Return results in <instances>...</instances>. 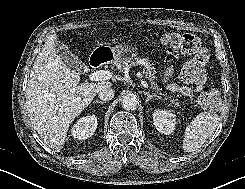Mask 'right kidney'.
Instances as JSON below:
<instances>
[{"label": "right kidney", "instance_id": "ca27d5eb", "mask_svg": "<svg viewBox=\"0 0 245 189\" xmlns=\"http://www.w3.org/2000/svg\"><path fill=\"white\" fill-rule=\"evenodd\" d=\"M97 118L95 115L81 117L71 129L74 139L85 140L91 137L97 128Z\"/></svg>", "mask_w": 245, "mask_h": 189}]
</instances>
